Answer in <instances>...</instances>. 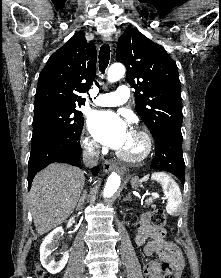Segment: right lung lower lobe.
Wrapping results in <instances>:
<instances>
[{
	"label": "right lung lower lobe",
	"instance_id": "obj_1",
	"mask_svg": "<svg viewBox=\"0 0 221 278\" xmlns=\"http://www.w3.org/2000/svg\"><path fill=\"white\" fill-rule=\"evenodd\" d=\"M79 134H49L32 143L28 162V190L31 187L34 176L53 162H66L74 166H80L82 149L79 143ZM98 173V168L91 170Z\"/></svg>",
	"mask_w": 221,
	"mask_h": 278
}]
</instances>
